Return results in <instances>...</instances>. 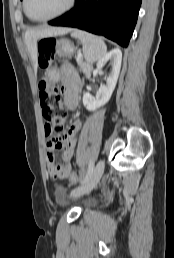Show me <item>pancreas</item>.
<instances>
[{
    "mask_svg": "<svg viewBox=\"0 0 174 258\" xmlns=\"http://www.w3.org/2000/svg\"><path fill=\"white\" fill-rule=\"evenodd\" d=\"M77 63L80 67V69L86 73V74H90L91 70H92V65L88 64V63H85L82 58L77 60Z\"/></svg>",
    "mask_w": 174,
    "mask_h": 258,
    "instance_id": "cf45deb5",
    "label": "pancreas"
}]
</instances>
